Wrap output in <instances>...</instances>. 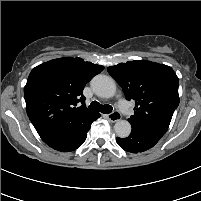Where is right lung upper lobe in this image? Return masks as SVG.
<instances>
[{"label": "right lung upper lobe", "instance_id": "1", "mask_svg": "<svg viewBox=\"0 0 201 201\" xmlns=\"http://www.w3.org/2000/svg\"><path fill=\"white\" fill-rule=\"evenodd\" d=\"M101 65L59 58L35 67L24 88L26 111L38 134L73 132L97 115L85 106L83 89Z\"/></svg>", "mask_w": 201, "mask_h": 201}]
</instances>
